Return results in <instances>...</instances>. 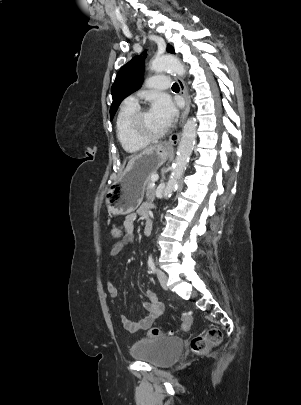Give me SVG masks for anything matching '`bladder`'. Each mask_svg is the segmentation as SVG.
Here are the masks:
<instances>
[{
    "label": "bladder",
    "mask_w": 301,
    "mask_h": 405,
    "mask_svg": "<svg viewBox=\"0 0 301 405\" xmlns=\"http://www.w3.org/2000/svg\"><path fill=\"white\" fill-rule=\"evenodd\" d=\"M182 351V341L172 337L141 338L130 349L133 358L156 367L172 365Z\"/></svg>",
    "instance_id": "1"
}]
</instances>
